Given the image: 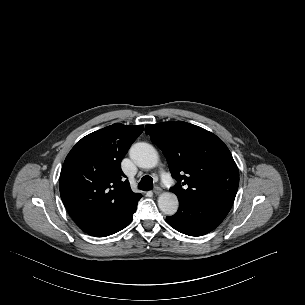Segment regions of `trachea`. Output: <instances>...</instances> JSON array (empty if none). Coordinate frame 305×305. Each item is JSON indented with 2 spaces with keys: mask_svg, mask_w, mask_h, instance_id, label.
I'll return each mask as SVG.
<instances>
[{
  "mask_svg": "<svg viewBox=\"0 0 305 305\" xmlns=\"http://www.w3.org/2000/svg\"><path fill=\"white\" fill-rule=\"evenodd\" d=\"M140 190L148 191L153 189V180L149 175H145L138 184Z\"/></svg>",
  "mask_w": 305,
  "mask_h": 305,
  "instance_id": "trachea-1",
  "label": "trachea"
}]
</instances>
